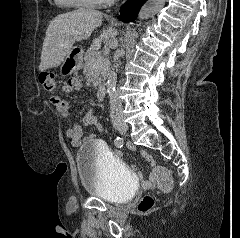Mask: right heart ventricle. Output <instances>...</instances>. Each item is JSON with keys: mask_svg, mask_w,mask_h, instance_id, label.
Segmentation results:
<instances>
[{"mask_svg": "<svg viewBox=\"0 0 240 238\" xmlns=\"http://www.w3.org/2000/svg\"><path fill=\"white\" fill-rule=\"evenodd\" d=\"M54 2L58 6L63 7V8H79V7L83 6L74 0H54Z\"/></svg>", "mask_w": 240, "mask_h": 238, "instance_id": "right-heart-ventricle-1", "label": "right heart ventricle"}]
</instances>
